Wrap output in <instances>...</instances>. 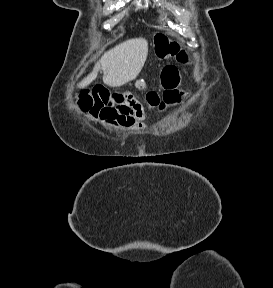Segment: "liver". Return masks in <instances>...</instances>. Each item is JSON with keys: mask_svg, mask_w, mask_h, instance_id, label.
Returning a JSON list of instances; mask_svg holds the SVG:
<instances>
[{"mask_svg": "<svg viewBox=\"0 0 273 288\" xmlns=\"http://www.w3.org/2000/svg\"><path fill=\"white\" fill-rule=\"evenodd\" d=\"M148 55V42L144 38L127 40L110 49L95 64L93 71L79 84L87 87L93 82L100 69L103 70V82L110 87H120L141 72Z\"/></svg>", "mask_w": 273, "mask_h": 288, "instance_id": "6515ba94", "label": "liver"}]
</instances>
